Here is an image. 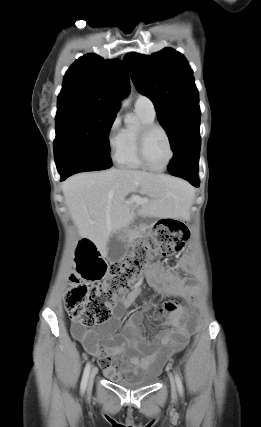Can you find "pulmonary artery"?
Instances as JSON below:
<instances>
[{"label":"pulmonary artery","mask_w":261,"mask_h":427,"mask_svg":"<svg viewBox=\"0 0 261 427\" xmlns=\"http://www.w3.org/2000/svg\"><path fill=\"white\" fill-rule=\"evenodd\" d=\"M135 109L143 111L150 117H155L156 111L150 98L145 95H138L135 100Z\"/></svg>","instance_id":"pulmonary-artery-1"}]
</instances>
